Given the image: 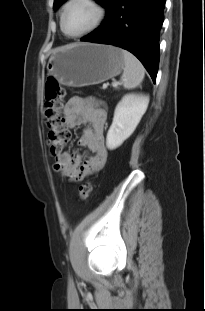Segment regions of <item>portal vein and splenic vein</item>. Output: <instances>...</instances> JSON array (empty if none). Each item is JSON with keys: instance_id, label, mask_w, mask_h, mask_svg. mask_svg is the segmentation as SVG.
I'll return each mask as SVG.
<instances>
[{"instance_id": "18ae733b", "label": "portal vein and splenic vein", "mask_w": 205, "mask_h": 311, "mask_svg": "<svg viewBox=\"0 0 205 311\" xmlns=\"http://www.w3.org/2000/svg\"><path fill=\"white\" fill-rule=\"evenodd\" d=\"M117 85H118V83H116V82L113 83V86H114V87H116Z\"/></svg>"}]
</instances>
